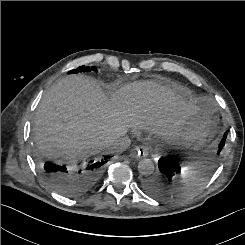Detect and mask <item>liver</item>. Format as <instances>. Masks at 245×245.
I'll use <instances>...</instances> for the list:
<instances>
[{"label": "liver", "instance_id": "liver-1", "mask_svg": "<svg viewBox=\"0 0 245 245\" xmlns=\"http://www.w3.org/2000/svg\"><path fill=\"white\" fill-rule=\"evenodd\" d=\"M204 101L187 100L152 81L124 85L108 96L94 80L68 76L41 100L34 141L49 159L74 163L98 153L130 127L171 139Z\"/></svg>", "mask_w": 245, "mask_h": 245}]
</instances>
